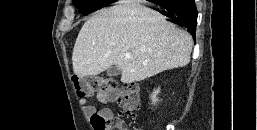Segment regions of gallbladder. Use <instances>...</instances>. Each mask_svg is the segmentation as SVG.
<instances>
[{
    "label": "gallbladder",
    "instance_id": "gallbladder-1",
    "mask_svg": "<svg viewBox=\"0 0 257 130\" xmlns=\"http://www.w3.org/2000/svg\"><path fill=\"white\" fill-rule=\"evenodd\" d=\"M120 74H121V70L117 66H111L107 70V75L110 77L118 76Z\"/></svg>",
    "mask_w": 257,
    "mask_h": 130
}]
</instances>
